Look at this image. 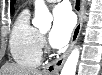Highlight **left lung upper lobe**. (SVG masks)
I'll use <instances>...</instances> for the list:
<instances>
[{
    "label": "left lung upper lobe",
    "mask_w": 102,
    "mask_h": 75,
    "mask_svg": "<svg viewBox=\"0 0 102 75\" xmlns=\"http://www.w3.org/2000/svg\"><path fill=\"white\" fill-rule=\"evenodd\" d=\"M15 3V0H11V13L14 12V7H13V4Z\"/></svg>",
    "instance_id": "5c2ea615"
}]
</instances>
